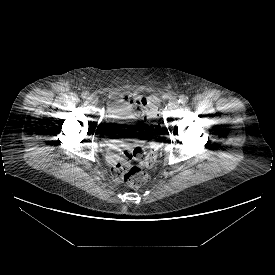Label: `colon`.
<instances>
[{
    "instance_id": "colon-1",
    "label": "colon",
    "mask_w": 275,
    "mask_h": 275,
    "mask_svg": "<svg viewBox=\"0 0 275 275\" xmlns=\"http://www.w3.org/2000/svg\"><path fill=\"white\" fill-rule=\"evenodd\" d=\"M135 108L141 112L145 120L150 121V131H156L158 128L157 117L159 113L158 99L154 96L138 98ZM132 157L143 160V165H137L127 169L123 175V179L130 187L139 188L143 186L147 180L144 167L150 168L154 165L157 159V151L153 148L147 153L145 147L136 146L126 150L123 154V159ZM121 166L122 162L119 163V167Z\"/></svg>"
}]
</instances>
